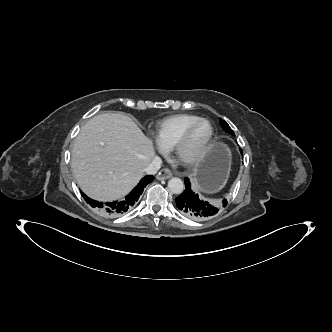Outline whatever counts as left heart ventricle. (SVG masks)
<instances>
[{"instance_id": "obj_1", "label": "left heart ventricle", "mask_w": 332, "mask_h": 332, "mask_svg": "<svg viewBox=\"0 0 332 332\" xmlns=\"http://www.w3.org/2000/svg\"><path fill=\"white\" fill-rule=\"evenodd\" d=\"M209 134V125L200 123L191 133L184 149L183 154L190 156L204 143Z\"/></svg>"}]
</instances>
